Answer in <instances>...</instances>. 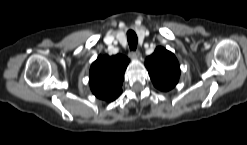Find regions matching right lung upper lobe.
I'll return each instance as SVG.
<instances>
[{
    "label": "right lung upper lobe",
    "instance_id": "obj_1",
    "mask_svg": "<svg viewBox=\"0 0 247 145\" xmlns=\"http://www.w3.org/2000/svg\"><path fill=\"white\" fill-rule=\"evenodd\" d=\"M129 59L123 55H105L92 63L89 83L93 94L106 101L115 100L122 92L124 72Z\"/></svg>",
    "mask_w": 247,
    "mask_h": 145
}]
</instances>
